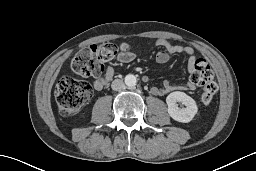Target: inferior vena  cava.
I'll return each instance as SVG.
<instances>
[{
    "mask_svg": "<svg viewBox=\"0 0 256 171\" xmlns=\"http://www.w3.org/2000/svg\"><path fill=\"white\" fill-rule=\"evenodd\" d=\"M111 88L114 91L121 90L122 88H124V82L120 79H115L111 84Z\"/></svg>",
    "mask_w": 256,
    "mask_h": 171,
    "instance_id": "obj_1",
    "label": "inferior vena cava"
}]
</instances>
